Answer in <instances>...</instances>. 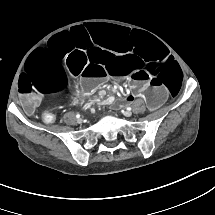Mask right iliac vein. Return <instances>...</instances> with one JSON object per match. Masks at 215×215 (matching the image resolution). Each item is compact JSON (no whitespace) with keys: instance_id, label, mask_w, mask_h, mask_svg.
I'll use <instances>...</instances> for the list:
<instances>
[{"instance_id":"right-iliac-vein-1","label":"right iliac vein","mask_w":215,"mask_h":215,"mask_svg":"<svg viewBox=\"0 0 215 215\" xmlns=\"http://www.w3.org/2000/svg\"><path fill=\"white\" fill-rule=\"evenodd\" d=\"M81 122H82V120H81V119H79V120H78V123H81Z\"/></svg>"}]
</instances>
